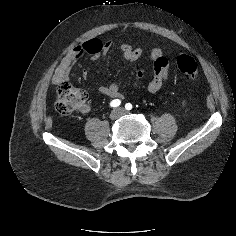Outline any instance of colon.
<instances>
[{
    "label": "colon",
    "mask_w": 236,
    "mask_h": 236,
    "mask_svg": "<svg viewBox=\"0 0 236 236\" xmlns=\"http://www.w3.org/2000/svg\"><path fill=\"white\" fill-rule=\"evenodd\" d=\"M177 69L186 79H194L198 73L195 59L188 55L179 57ZM85 100L86 93L84 90L68 83H63L59 85L55 107L59 114L68 116L80 109L84 105Z\"/></svg>",
    "instance_id": "1"
}]
</instances>
